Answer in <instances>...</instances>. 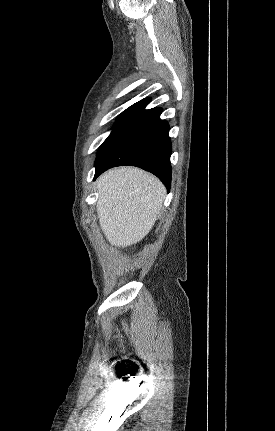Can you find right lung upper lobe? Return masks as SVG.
<instances>
[{"label": "right lung upper lobe", "mask_w": 275, "mask_h": 431, "mask_svg": "<svg viewBox=\"0 0 275 431\" xmlns=\"http://www.w3.org/2000/svg\"><path fill=\"white\" fill-rule=\"evenodd\" d=\"M151 101V98H145L143 100L138 101L137 103L131 105L124 112L136 114L139 111L143 110Z\"/></svg>", "instance_id": "right-lung-upper-lobe-1"}]
</instances>
